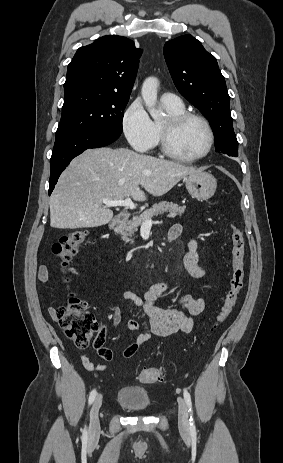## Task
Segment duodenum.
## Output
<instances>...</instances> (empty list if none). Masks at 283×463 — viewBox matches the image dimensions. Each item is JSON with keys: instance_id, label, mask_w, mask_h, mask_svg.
I'll use <instances>...</instances> for the list:
<instances>
[{"instance_id": "1", "label": "duodenum", "mask_w": 283, "mask_h": 463, "mask_svg": "<svg viewBox=\"0 0 283 463\" xmlns=\"http://www.w3.org/2000/svg\"><path fill=\"white\" fill-rule=\"evenodd\" d=\"M130 217V213L123 211L115 216L110 222L109 228L111 231H117Z\"/></svg>"}]
</instances>
